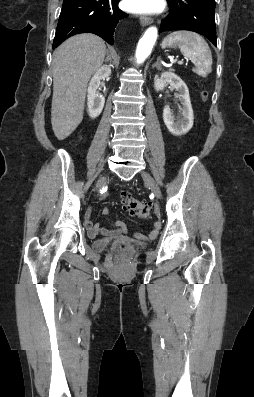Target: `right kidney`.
Wrapping results in <instances>:
<instances>
[{"mask_svg": "<svg viewBox=\"0 0 254 397\" xmlns=\"http://www.w3.org/2000/svg\"><path fill=\"white\" fill-rule=\"evenodd\" d=\"M111 75V67L110 66H101L92 77L89 86H88V95H87V106H88V114L94 119L98 117L104 107L105 97L99 95L97 93V89L100 85V81L105 79Z\"/></svg>", "mask_w": 254, "mask_h": 397, "instance_id": "1", "label": "right kidney"}]
</instances>
